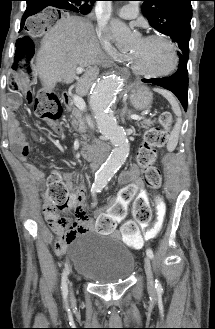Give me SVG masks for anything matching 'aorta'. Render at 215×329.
Masks as SVG:
<instances>
[{
	"instance_id": "aorta-1",
	"label": "aorta",
	"mask_w": 215,
	"mask_h": 329,
	"mask_svg": "<svg viewBox=\"0 0 215 329\" xmlns=\"http://www.w3.org/2000/svg\"><path fill=\"white\" fill-rule=\"evenodd\" d=\"M115 42L120 47H127L131 44L132 35L125 23L119 20L110 22ZM122 87V81L115 75L101 78L93 87L90 94V106L94 113L98 131L110 141L113 150L106 162L95 174L93 186L102 188L107 185L115 172L126 161L130 143L126 132L121 127L112 111L117 94Z\"/></svg>"
}]
</instances>
